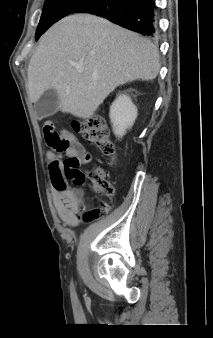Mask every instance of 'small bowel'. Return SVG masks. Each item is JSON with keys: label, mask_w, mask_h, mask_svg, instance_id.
Listing matches in <instances>:
<instances>
[{"label": "small bowel", "mask_w": 213, "mask_h": 338, "mask_svg": "<svg viewBox=\"0 0 213 338\" xmlns=\"http://www.w3.org/2000/svg\"><path fill=\"white\" fill-rule=\"evenodd\" d=\"M43 133L46 141V159L48 161H56L62 164V155L65 158L75 156L80 163L91 161L92 154L85 152L83 145L72 132L68 130L56 131L54 122L46 121L43 125ZM62 139L69 140L71 144V147L64 152L58 150V145ZM86 201L82 189L66 187L64 189L54 188L52 190L53 206L60 220L67 225H77L80 222V218L87 221L85 216L88 212L82 216V213L86 210Z\"/></svg>", "instance_id": "1"}]
</instances>
